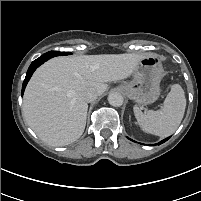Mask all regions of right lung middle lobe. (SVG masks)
Wrapping results in <instances>:
<instances>
[{
  "instance_id": "obj_1",
  "label": "right lung middle lobe",
  "mask_w": 201,
  "mask_h": 201,
  "mask_svg": "<svg viewBox=\"0 0 201 201\" xmlns=\"http://www.w3.org/2000/svg\"><path fill=\"white\" fill-rule=\"evenodd\" d=\"M45 54H51L52 55V57H54V56H63V55H69V54H71V53H69V52H58V51H50V52H47V53H45Z\"/></svg>"
}]
</instances>
